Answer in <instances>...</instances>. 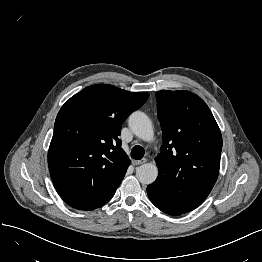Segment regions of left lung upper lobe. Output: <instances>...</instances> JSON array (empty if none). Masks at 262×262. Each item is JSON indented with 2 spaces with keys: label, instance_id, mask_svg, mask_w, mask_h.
Here are the masks:
<instances>
[{
  "label": "left lung upper lobe",
  "instance_id": "obj_1",
  "mask_svg": "<svg viewBox=\"0 0 262 262\" xmlns=\"http://www.w3.org/2000/svg\"><path fill=\"white\" fill-rule=\"evenodd\" d=\"M163 145L159 175L147 191L180 213L200 206L219 173L220 129L206 103L189 91L156 92Z\"/></svg>",
  "mask_w": 262,
  "mask_h": 262
}]
</instances>
